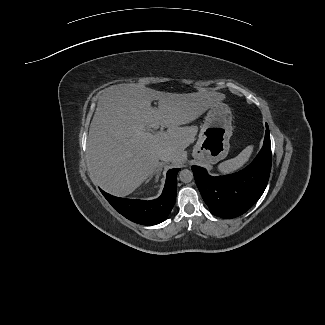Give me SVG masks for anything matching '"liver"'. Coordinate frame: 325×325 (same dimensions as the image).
Here are the masks:
<instances>
[{
  "label": "liver",
  "mask_w": 325,
  "mask_h": 325,
  "mask_svg": "<svg viewBox=\"0 0 325 325\" xmlns=\"http://www.w3.org/2000/svg\"><path fill=\"white\" fill-rule=\"evenodd\" d=\"M226 96L219 92L176 94L156 91L140 84H119L99 96L90 124L87 154L93 180L106 192L126 196L135 191L159 164L163 150L181 165L185 149L197 134L196 126H184ZM158 100V108L151 106ZM167 127L152 137L136 135L137 127Z\"/></svg>",
  "instance_id": "6515ba94"
}]
</instances>
